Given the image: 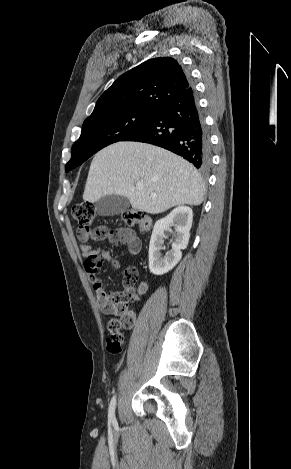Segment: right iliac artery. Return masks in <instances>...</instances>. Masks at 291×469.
Here are the masks:
<instances>
[{
	"label": "right iliac artery",
	"mask_w": 291,
	"mask_h": 469,
	"mask_svg": "<svg viewBox=\"0 0 291 469\" xmlns=\"http://www.w3.org/2000/svg\"><path fill=\"white\" fill-rule=\"evenodd\" d=\"M115 406H116V396H113V398L110 402L109 411H108L109 421H111L113 424H116Z\"/></svg>",
	"instance_id": "obj_1"
}]
</instances>
